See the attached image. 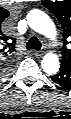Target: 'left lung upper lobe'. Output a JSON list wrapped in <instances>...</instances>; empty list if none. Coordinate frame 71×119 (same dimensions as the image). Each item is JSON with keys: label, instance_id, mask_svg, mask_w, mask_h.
Returning <instances> with one entry per match:
<instances>
[{"label": "left lung upper lobe", "instance_id": "1", "mask_svg": "<svg viewBox=\"0 0 71 119\" xmlns=\"http://www.w3.org/2000/svg\"><path fill=\"white\" fill-rule=\"evenodd\" d=\"M42 4L52 12L60 21L64 29L62 51L63 59L61 66L71 68V50L66 47L71 39V0L64 1H43Z\"/></svg>", "mask_w": 71, "mask_h": 119}]
</instances>
